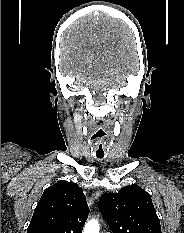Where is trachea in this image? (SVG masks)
<instances>
[{"label":"trachea","instance_id":"1","mask_svg":"<svg viewBox=\"0 0 184 233\" xmlns=\"http://www.w3.org/2000/svg\"><path fill=\"white\" fill-rule=\"evenodd\" d=\"M105 138H106V132L102 128L97 129L92 135V139H94L95 142L94 152H95V156L98 159H103L106 154L105 144H104Z\"/></svg>","mask_w":184,"mask_h":233}]
</instances>
